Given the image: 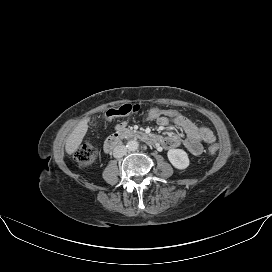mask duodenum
Returning a JSON list of instances; mask_svg holds the SVG:
<instances>
[{
	"instance_id": "obj_1",
	"label": "duodenum",
	"mask_w": 272,
	"mask_h": 272,
	"mask_svg": "<svg viewBox=\"0 0 272 272\" xmlns=\"http://www.w3.org/2000/svg\"><path fill=\"white\" fill-rule=\"evenodd\" d=\"M125 138L138 139L149 144L157 143V137L153 134L145 131L125 130L120 128L106 139L104 143V151L106 153H110L120 143V141Z\"/></svg>"
}]
</instances>
